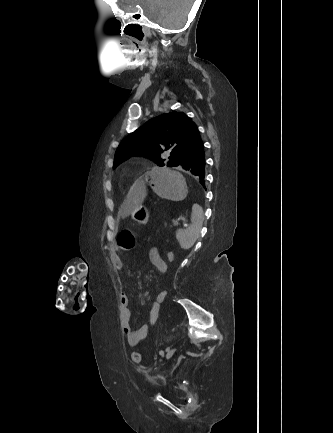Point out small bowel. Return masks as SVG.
<instances>
[{
  "label": "small bowel",
  "instance_id": "c3829d8e",
  "mask_svg": "<svg viewBox=\"0 0 333 433\" xmlns=\"http://www.w3.org/2000/svg\"><path fill=\"white\" fill-rule=\"evenodd\" d=\"M148 258L159 272H161L162 274H165L167 272L168 265L166 261L161 257L159 251L156 248H151L148 251ZM110 259L114 268L118 272H121L123 269V262L121 257L119 256L118 249L116 248V246L111 247ZM166 297H167V291L161 290L156 294L154 301L160 300L163 303ZM152 308H153V303L151 305V309ZM130 321H131V310L129 307V297L127 294H121L120 295L121 328L127 343L130 346H136L147 337L150 330V325L144 324L138 329H133Z\"/></svg>",
  "mask_w": 333,
  "mask_h": 433
}]
</instances>
